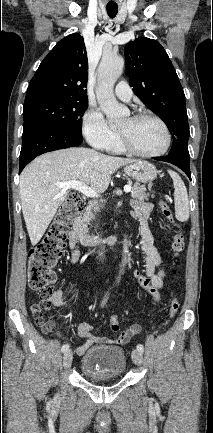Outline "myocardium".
<instances>
[{"mask_svg": "<svg viewBox=\"0 0 213 433\" xmlns=\"http://www.w3.org/2000/svg\"><path fill=\"white\" fill-rule=\"evenodd\" d=\"M130 118L134 121L143 120V119H151V120L157 122L162 127V129L165 133L166 141H165L164 147L160 151L153 152V153H147V152H142V151L137 150L135 147H133L131 145V143L127 140V138L122 133L118 132L119 143L125 152H127L131 155L143 157V158L160 157V156H163L164 154H166L168 152V150L171 146V142H172V135H171V132H170L168 125L166 124V122L162 118H160L159 116H157L153 113L147 112V111L137 112V113L133 114Z\"/></svg>", "mask_w": 213, "mask_h": 433, "instance_id": "obj_1", "label": "myocardium"}]
</instances>
